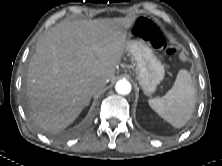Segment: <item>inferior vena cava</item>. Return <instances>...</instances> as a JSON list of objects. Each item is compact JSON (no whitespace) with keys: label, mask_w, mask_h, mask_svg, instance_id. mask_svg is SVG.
Segmentation results:
<instances>
[{"label":"inferior vena cava","mask_w":222,"mask_h":166,"mask_svg":"<svg viewBox=\"0 0 222 166\" xmlns=\"http://www.w3.org/2000/svg\"><path fill=\"white\" fill-rule=\"evenodd\" d=\"M106 83L107 82L103 79L96 80L92 85L93 93L102 91L104 87L106 86Z\"/></svg>","instance_id":"inferior-vena-cava-1"}]
</instances>
